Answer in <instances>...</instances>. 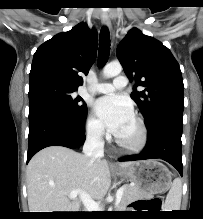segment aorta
Returning a JSON list of instances; mask_svg holds the SVG:
<instances>
[{"mask_svg":"<svg viewBox=\"0 0 203 219\" xmlns=\"http://www.w3.org/2000/svg\"><path fill=\"white\" fill-rule=\"evenodd\" d=\"M122 71V66L119 62H112L103 68V76L105 78H112L119 75Z\"/></svg>","mask_w":203,"mask_h":219,"instance_id":"762f6f07","label":"aorta"}]
</instances>
